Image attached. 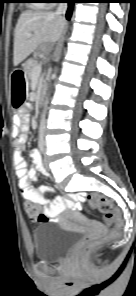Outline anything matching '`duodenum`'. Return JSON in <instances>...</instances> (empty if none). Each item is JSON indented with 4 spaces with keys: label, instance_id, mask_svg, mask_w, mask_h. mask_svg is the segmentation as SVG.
<instances>
[{
    "label": "duodenum",
    "instance_id": "410a0bca",
    "mask_svg": "<svg viewBox=\"0 0 136 296\" xmlns=\"http://www.w3.org/2000/svg\"><path fill=\"white\" fill-rule=\"evenodd\" d=\"M43 100H44L43 96H40V97L38 98V104H39V105H42Z\"/></svg>",
    "mask_w": 136,
    "mask_h": 296
}]
</instances>
